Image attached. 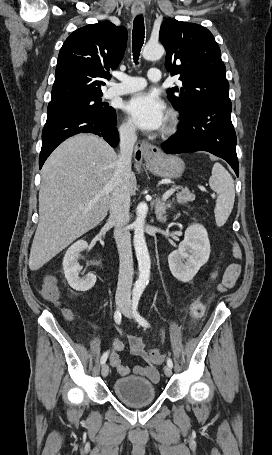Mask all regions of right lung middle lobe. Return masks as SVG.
I'll return each mask as SVG.
<instances>
[{
  "instance_id": "dd1d6c3e",
  "label": "right lung middle lobe",
  "mask_w": 272,
  "mask_h": 455,
  "mask_svg": "<svg viewBox=\"0 0 272 455\" xmlns=\"http://www.w3.org/2000/svg\"><path fill=\"white\" fill-rule=\"evenodd\" d=\"M102 94L69 97L49 103L47 119L66 114H95L102 117H112L115 109L102 103Z\"/></svg>"
}]
</instances>
